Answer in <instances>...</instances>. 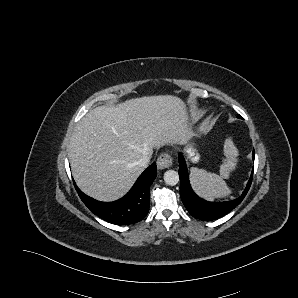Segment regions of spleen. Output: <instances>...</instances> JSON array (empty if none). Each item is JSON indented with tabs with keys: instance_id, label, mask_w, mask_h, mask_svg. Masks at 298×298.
<instances>
[{
	"instance_id": "spleen-1",
	"label": "spleen",
	"mask_w": 298,
	"mask_h": 298,
	"mask_svg": "<svg viewBox=\"0 0 298 298\" xmlns=\"http://www.w3.org/2000/svg\"><path fill=\"white\" fill-rule=\"evenodd\" d=\"M223 150L226 158L220 165V175L196 167L190 168V181L194 191L209 201L231 194L224 179H228L231 171L235 170L239 152L231 137L225 139Z\"/></svg>"
}]
</instances>
